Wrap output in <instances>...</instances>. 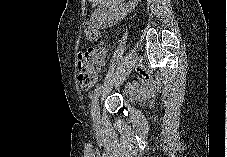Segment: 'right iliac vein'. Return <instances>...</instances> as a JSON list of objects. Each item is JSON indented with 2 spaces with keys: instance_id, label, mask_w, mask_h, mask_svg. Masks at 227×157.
Here are the masks:
<instances>
[{
  "instance_id": "1",
  "label": "right iliac vein",
  "mask_w": 227,
  "mask_h": 157,
  "mask_svg": "<svg viewBox=\"0 0 227 157\" xmlns=\"http://www.w3.org/2000/svg\"><path fill=\"white\" fill-rule=\"evenodd\" d=\"M136 62V57L133 56L130 60V62L127 64L126 68L124 69V71L122 72V74L120 75L119 79L115 82V86L118 87L120 86L127 78V76L129 75L131 69L133 68L134 64ZM95 113H94V123H98L99 120V111H100V105H99V101H97V103L95 104Z\"/></svg>"
}]
</instances>
